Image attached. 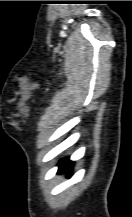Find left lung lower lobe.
<instances>
[{
	"label": "left lung lower lobe",
	"mask_w": 132,
	"mask_h": 217,
	"mask_svg": "<svg viewBox=\"0 0 132 217\" xmlns=\"http://www.w3.org/2000/svg\"><path fill=\"white\" fill-rule=\"evenodd\" d=\"M73 163L74 162L69 161L68 158L63 159L62 161H60L58 173L71 171Z\"/></svg>",
	"instance_id": "obj_1"
}]
</instances>
